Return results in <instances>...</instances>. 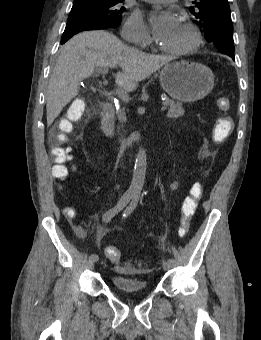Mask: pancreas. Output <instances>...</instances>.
<instances>
[{"instance_id":"1","label":"pancreas","mask_w":261,"mask_h":340,"mask_svg":"<svg viewBox=\"0 0 261 340\" xmlns=\"http://www.w3.org/2000/svg\"><path fill=\"white\" fill-rule=\"evenodd\" d=\"M164 105L169 106L168 113H167V116L169 118H178L184 115L185 111L181 103L175 102L174 100L167 98L164 101ZM122 119L125 120V116H122Z\"/></svg>"}]
</instances>
